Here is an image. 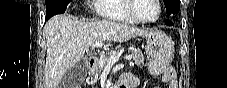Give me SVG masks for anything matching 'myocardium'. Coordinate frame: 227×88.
Instances as JSON below:
<instances>
[{
    "label": "myocardium",
    "instance_id": "obj_1",
    "mask_svg": "<svg viewBox=\"0 0 227 88\" xmlns=\"http://www.w3.org/2000/svg\"><path fill=\"white\" fill-rule=\"evenodd\" d=\"M157 8H158V14L157 16L152 19V20H144V19H140L136 16L135 12H134V3L135 0H128L126 2V11L128 13V15L134 20L135 23H139V24H152L155 23L159 20L161 14H162V8H161V4L159 0H154Z\"/></svg>",
    "mask_w": 227,
    "mask_h": 88
}]
</instances>
